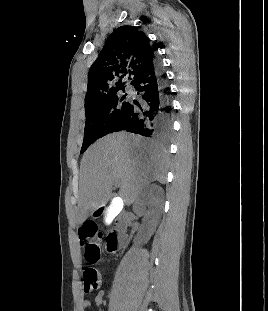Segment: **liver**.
Returning <instances> with one entry per match:
<instances>
[{"label":"liver","mask_w":268,"mask_h":311,"mask_svg":"<svg viewBox=\"0 0 268 311\" xmlns=\"http://www.w3.org/2000/svg\"><path fill=\"white\" fill-rule=\"evenodd\" d=\"M167 160L157 145L147 144L134 134L120 132L98 140L81 160L77 223L82 224L92 212L107 204L116 182L118 194L127 206L151 182L164 184Z\"/></svg>","instance_id":"liver-1"}]
</instances>
